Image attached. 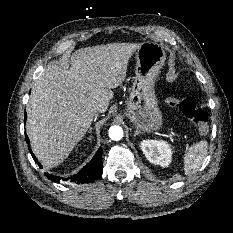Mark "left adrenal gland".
I'll use <instances>...</instances> for the list:
<instances>
[{
	"label": "left adrenal gland",
	"mask_w": 233,
	"mask_h": 233,
	"mask_svg": "<svg viewBox=\"0 0 233 233\" xmlns=\"http://www.w3.org/2000/svg\"><path fill=\"white\" fill-rule=\"evenodd\" d=\"M139 133H141L138 129L135 131L134 136L138 135Z\"/></svg>",
	"instance_id": "a2214340"
}]
</instances>
